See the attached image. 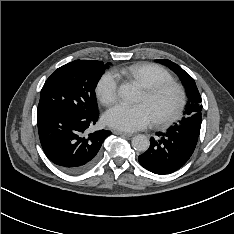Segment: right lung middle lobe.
Here are the masks:
<instances>
[{
    "label": "right lung middle lobe",
    "mask_w": 234,
    "mask_h": 234,
    "mask_svg": "<svg viewBox=\"0 0 234 234\" xmlns=\"http://www.w3.org/2000/svg\"><path fill=\"white\" fill-rule=\"evenodd\" d=\"M109 64L75 60L59 67L41 90L37 116L51 111L98 114L95 88Z\"/></svg>",
    "instance_id": "dd1d6c3e"
}]
</instances>
